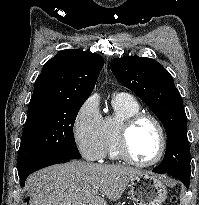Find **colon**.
<instances>
[{"instance_id":"5ec220e1","label":"colon","mask_w":199,"mask_h":205,"mask_svg":"<svg viewBox=\"0 0 199 205\" xmlns=\"http://www.w3.org/2000/svg\"><path fill=\"white\" fill-rule=\"evenodd\" d=\"M176 201H177L176 196H173V197H172V202H173V203H176ZM29 204H30L29 202H26V205H29Z\"/></svg>"}]
</instances>
